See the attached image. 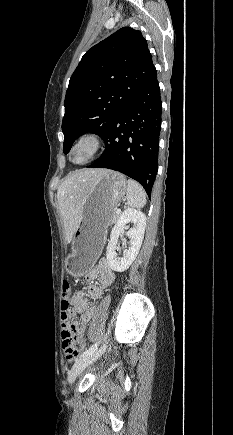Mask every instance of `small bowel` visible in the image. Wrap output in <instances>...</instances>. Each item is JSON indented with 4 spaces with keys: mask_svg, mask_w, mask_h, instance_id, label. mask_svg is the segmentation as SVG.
Instances as JSON below:
<instances>
[{
    "mask_svg": "<svg viewBox=\"0 0 233 435\" xmlns=\"http://www.w3.org/2000/svg\"><path fill=\"white\" fill-rule=\"evenodd\" d=\"M85 280L92 282L86 287L77 290L70 297L72 304V314H62V327L71 329L76 326L78 335V344L81 349L85 347L86 342V323H88L96 312V306H90L89 299L99 301L103 290L110 286L115 280L114 272L109 268L105 258L98 261L96 266L85 275ZM97 280L96 282H93ZM76 314L81 315V322L71 321Z\"/></svg>",
    "mask_w": 233,
    "mask_h": 435,
    "instance_id": "c3829d8e",
    "label": "small bowel"
}]
</instances>
